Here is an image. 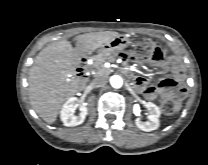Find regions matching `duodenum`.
Masks as SVG:
<instances>
[{"label": "duodenum", "instance_id": "1", "mask_svg": "<svg viewBox=\"0 0 208 165\" xmlns=\"http://www.w3.org/2000/svg\"><path fill=\"white\" fill-rule=\"evenodd\" d=\"M87 61H88V57H85V56L81 57V59L79 61V65H78L77 70H78V73L81 77L85 76V72L83 71V68L87 64ZM125 73L130 76L128 71H125Z\"/></svg>", "mask_w": 208, "mask_h": 165}]
</instances>
